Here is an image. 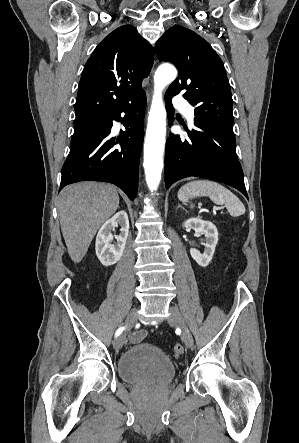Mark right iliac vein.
<instances>
[{"label":"right iliac vein","instance_id":"63e3f726","mask_svg":"<svg viewBox=\"0 0 299 443\" xmlns=\"http://www.w3.org/2000/svg\"><path fill=\"white\" fill-rule=\"evenodd\" d=\"M137 320H138V313H137L136 310H132V311L127 315V318H126V321H125V326H126L127 328H131V327H133V326L136 324ZM125 338H126L125 333H123V334H121V335L116 339V341H115V343H114V348H115L116 350H120V349L123 347V345H124V343H125Z\"/></svg>","mask_w":299,"mask_h":443}]
</instances>
